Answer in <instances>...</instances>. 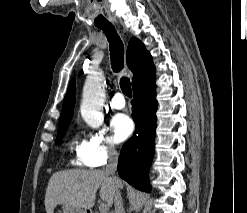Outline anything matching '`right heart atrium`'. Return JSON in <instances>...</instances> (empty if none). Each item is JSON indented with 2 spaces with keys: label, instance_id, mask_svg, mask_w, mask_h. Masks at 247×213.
I'll list each match as a JSON object with an SVG mask.
<instances>
[{
  "label": "right heart atrium",
  "instance_id": "obj_1",
  "mask_svg": "<svg viewBox=\"0 0 247 213\" xmlns=\"http://www.w3.org/2000/svg\"><path fill=\"white\" fill-rule=\"evenodd\" d=\"M117 148L106 130L89 132L79 154L82 162L89 167L104 166L117 155Z\"/></svg>",
  "mask_w": 247,
  "mask_h": 213
}]
</instances>
